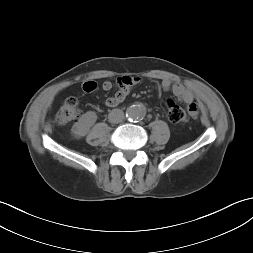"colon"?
<instances>
[{"instance_id":"5ec220e1","label":"colon","mask_w":253,"mask_h":253,"mask_svg":"<svg viewBox=\"0 0 253 253\" xmlns=\"http://www.w3.org/2000/svg\"><path fill=\"white\" fill-rule=\"evenodd\" d=\"M167 118L171 123L184 124L187 117L184 115V109L172 100L166 103ZM81 115L79 102L75 97L66 98L56 114V123L66 125L76 121Z\"/></svg>"}]
</instances>
